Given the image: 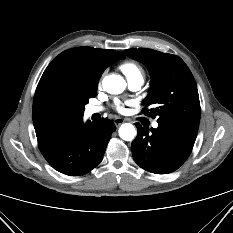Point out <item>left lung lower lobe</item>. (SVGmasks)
Masks as SVG:
<instances>
[{
    "label": "left lung lower lobe",
    "instance_id": "obj_1",
    "mask_svg": "<svg viewBox=\"0 0 233 233\" xmlns=\"http://www.w3.org/2000/svg\"><path fill=\"white\" fill-rule=\"evenodd\" d=\"M137 137L132 142L133 159L144 170L168 174L189 157L199 124L179 121L158 123V128H143L136 123Z\"/></svg>",
    "mask_w": 233,
    "mask_h": 233
}]
</instances>
